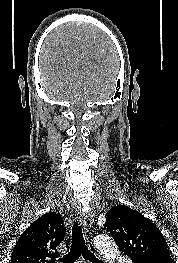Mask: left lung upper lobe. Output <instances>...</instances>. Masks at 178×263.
I'll return each mask as SVG.
<instances>
[{"instance_id":"5c2ea615","label":"left lung upper lobe","mask_w":178,"mask_h":263,"mask_svg":"<svg viewBox=\"0 0 178 263\" xmlns=\"http://www.w3.org/2000/svg\"><path fill=\"white\" fill-rule=\"evenodd\" d=\"M104 225L133 263H174L163 234L138 211L124 205L115 206L108 211Z\"/></svg>"}]
</instances>
